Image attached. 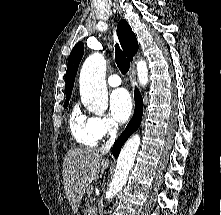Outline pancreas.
Listing matches in <instances>:
<instances>
[{
	"instance_id": "cf45deb5",
	"label": "pancreas",
	"mask_w": 221,
	"mask_h": 215,
	"mask_svg": "<svg viewBox=\"0 0 221 215\" xmlns=\"http://www.w3.org/2000/svg\"><path fill=\"white\" fill-rule=\"evenodd\" d=\"M93 197L91 196V191H87V196H86V203H85V207L87 208H89L90 206H89V204H90V202H93ZM85 212H86V215H96V211L94 210L91 214H89V212L88 211H86L85 210Z\"/></svg>"
}]
</instances>
